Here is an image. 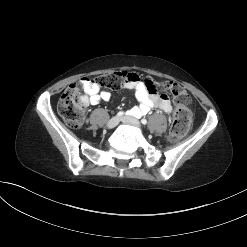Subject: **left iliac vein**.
Wrapping results in <instances>:
<instances>
[{
    "mask_svg": "<svg viewBox=\"0 0 247 247\" xmlns=\"http://www.w3.org/2000/svg\"><path fill=\"white\" fill-rule=\"evenodd\" d=\"M121 121L123 123L131 124V125H133V126H135L137 128H140V122L136 118H134L132 116H124V117L121 118Z\"/></svg>",
    "mask_w": 247,
    "mask_h": 247,
    "instance_id": "left-iliac-vein-1",
    "label": "left iliac vein"
}]
</instances>
